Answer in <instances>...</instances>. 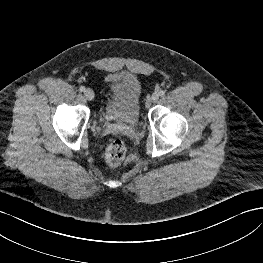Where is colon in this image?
<instances>
[{"instance_id":"5ec220e1","label":"colon","mask_w":263,"mask_h":263,"mask_svg":"<svg viewBox=\"0 0 263 263\" xmlns=\"http://www.w3.org/2000/svg\"><path fill=\"white\" fill-rule=\"evenodd\" d=\"M125 156H126L125 143L122 140L117 139L112 141L108 145L105 153V160L109 166L115 167L123 162Z\"/></svg>"}]
</instances>
